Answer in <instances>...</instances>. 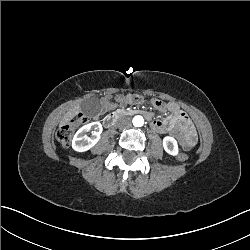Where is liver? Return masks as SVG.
Returning a JSON list of instances; mask_svg holds the SVG:
<instances>
[{
  "label": "liver",
  "mask_w": 250,
  "mask_h": 250,
  "mask_svg": "<svg viewBox=\"0 0 250 250\" xmlns=\"http://www.w3.org/2000/svg\"><path fill=\"white\" fill-rule=\"evenodd\" d=\"M79 113V105L75 106L73 109L69 110L63 117L62 124H65L67 121H69L71 118H73L75 115Z\"/></svg>",
  "instance_id": "obj_1"
}]
</instances>
